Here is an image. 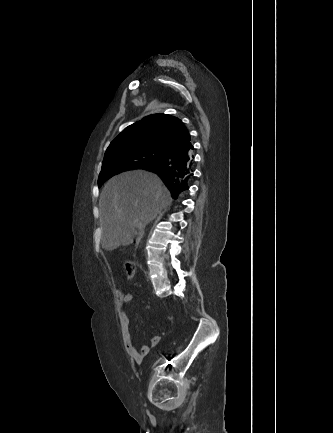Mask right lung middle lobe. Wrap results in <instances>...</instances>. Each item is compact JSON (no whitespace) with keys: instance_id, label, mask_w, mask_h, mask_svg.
<instances>
[{"instance_id":"1","label":"right lung middle lobe","mask_w":333,"mask_h":433,"mask_svg":"<svg viewBox=\"0 0 333 433\" xmlns=\"http://www.w3.org/2000/svg\"><path fill=\"white\" fill-rule=\"evenodd\" d=\"M166 155V152L156 148H124L113 151L104 157L98 186L122 171L133 168L147 169L159 163Z\"/></svg>"}]
</instances>
